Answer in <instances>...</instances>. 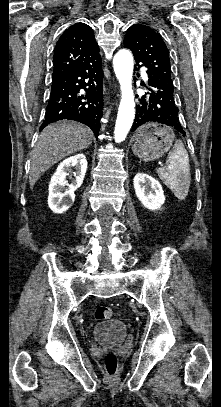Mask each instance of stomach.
I'll use <instances>...</instances> for the list:
<instances>
[{
	"mask_svg": "<svg viewBox=\"0 0 221 407\" xmlns=\"http://www.w3.org/2000/svg\"><path fill=\"white\" fill-rule=\"evenodd\" d=\"M174 138L172 129L155 123H147L136 131L132 150L141 160L153 161L170 149Z\"/></svg>",
	"mask_w": 221,
	"mask_h": 407,
	"instance_id": "1",
	"label": "stomach"
}]
</instances>
